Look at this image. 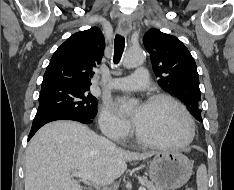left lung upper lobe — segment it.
<instances>
[{"instance_id":"5c2ea615","label":"left lung upper lobe","mask_w":234,"mask_h":190,"mask_svg":"<svg viewBox=\"0 0 234 190\" xmlns=\"http://www.w3.org/2000/svg\"><path fill=\"white\" fill-rule=\"evenodd\" d=\"M143 43L150 53L159 85L184 102L195 119L202 122L199 77L187 47L175 36L158 29L146 32Z\"/></svg>"}]
</instances>
